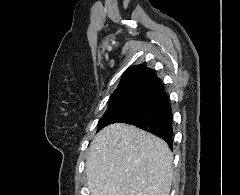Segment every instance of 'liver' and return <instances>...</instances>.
<instances>
[{
  "label": "liver",
  "mask_w": 240,
  "mask_h": 195,
  "mask_svg": "<svg viewBox=\"0 0 240 195\" xmlns=\"http://www.w3.org/2000/svg\"><path fill=\"white\" fill-rule=\"evenodd\" d=\"M173 153L157 135L112 123L92 139L86 159L91 195H169Z\"/></svg>",
  "instance_id": "6515ba94"
}]
</instances>
